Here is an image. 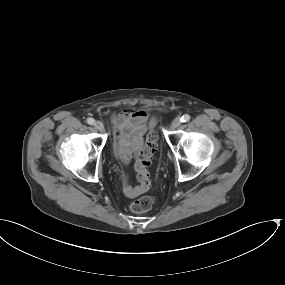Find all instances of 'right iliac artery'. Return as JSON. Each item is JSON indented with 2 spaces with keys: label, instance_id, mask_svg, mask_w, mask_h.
<instances>
[{
  "label": "right iliac artery",
  "instance_id": "obj_1",
  "mask_svg": "<svg viewBox=\"0 0 285 285\" xmlns=\"http://www.w3.org/2000/svg\"><path fill=\"white\" fill-rule=\"evenodd\" d=\"M94 122H95V120H94L93 118H88V119H87V123H88L89 125H93Z\"/></svg>",
  "mask_w": 285,
  "mask_h": 285
}]
</instances>
